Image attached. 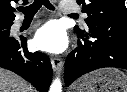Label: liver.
<instances>
[{
  "instance_id": "6515ba94",
  "label": "liver",
  "mask_w": 127,
  "mask_h": 92,
  "mask_svg": "<svg viewBox=\"0 0 127 92\" xmlns=\"http://www.w3.org/2000/svg\"><path fill=\"white\" fill-rule=\"evenodd\" d=\"M0 92H33V89L20 76L0 68Z\"/></svg>"
}]
</instances>
